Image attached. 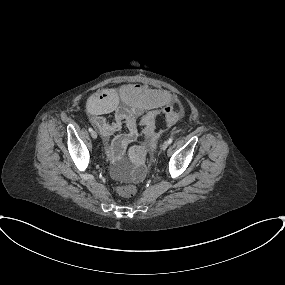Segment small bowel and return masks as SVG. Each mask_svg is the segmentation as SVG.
I'll use <instances>...</instances> for the list:
<instances>
[{
	"instance_id": "c3829d8e",
	"label": "small bowel",
	"mask_w": 285,
	"mask_h": 285,
	"mask_svg": "<svg viewBox=\"0 0 285 285\" xmlns=\"http://www.w3.org/2000/svg\"><path fill=\"white\" fill-rule=\"evenodd\" d=\"M87 109L90 122L100 132L107 156L114 165L123 159L126 147L137 141V120L144 113L154 111L162 114L169 125H173L183 114L181 106L176 108L169 94L131 84L95 93L89 99ZM106 115H112L111 122L106 119ZM123 125H126L127 132L116 134ZM145 145L146 142L133 152L134 160Z\"/></svg>"
}]
</instances>
